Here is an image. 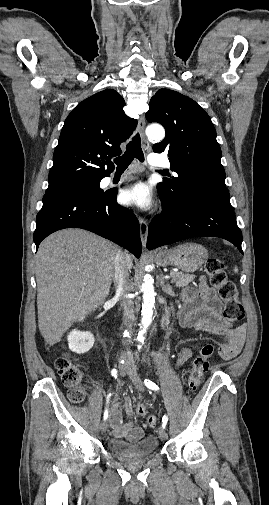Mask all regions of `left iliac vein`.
Returning a JSON list of instances; mask_svg holds the SVG:
<instances>
[{
  "mask_svg": "<svg viewBox=\"0 0 269 505\" xmlns=\"http://www.w3.org/2000/svg\"><path fill=\"white\" fill-rule=\"evenodd\" d=\"M124 368L126 370V373L129 375L131 381L133 382L134 386L138 390L142 391L144 389V387H143L141 379L138 375L136 366L132 362H129L128 364H126L124 366ZM159 437L162 441H166L168 438L167 432L164 429H160Z\"/></svg>",
  "mask_w": 269,
  "mask_h": 505,
  "instance_id": "left-iliac-vein-1",
  "label": "left iliac vein"
}]
</instances>
